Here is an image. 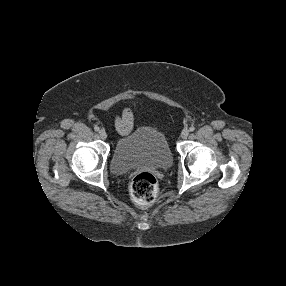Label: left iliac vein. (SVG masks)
I'll use <instances>...</instances> for the list:
<instances>
[{"label":"left iliac vein","mask_w":286,"mask_h":286,"mask_svg":"<svg viewBox=\"0 0 286 286\" xmlns=\"http://www.w3.org/2000/svg\"><path fill=\"white\" fill-rule=\"evenodd\" d=\"M189 135V130L187 129H184L182 132H181V138L182 139H186Z\"/></svg>","instance_id":"1"}]
</instances>
